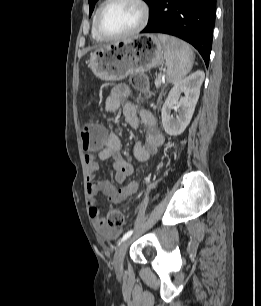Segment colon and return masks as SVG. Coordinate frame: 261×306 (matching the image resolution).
<instances>
[{
    "instance_id": "5ec220e1",
    "label": "colon",
    "mask_w": 261,
    "mask_h": 306,
    "mask_svg": "<svg viewBox=\"0 0 261 306\" xmlns=\"http://www.w3.org/2000/svg\"><path fill=\"white\" fill-rule=\"evenodd\" d=\"M134 84L143 88L145 86V79L143 76H135ZM83 149L86 152L97 151L103 142L105 132L101 125L93 122H88L81 128L80 131ZM125 224V214L120 209H112L108 213V225L114 228H120Z\"/></svg>"
}]
</instances>
